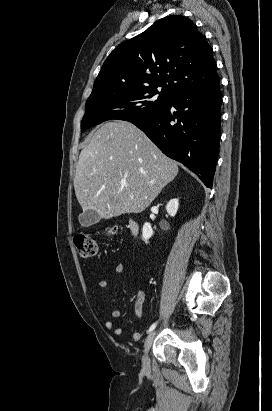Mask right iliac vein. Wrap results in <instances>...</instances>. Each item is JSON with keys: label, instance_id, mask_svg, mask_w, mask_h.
<instances>
[{"label": "right iliac vein", "instance_id": "obj_1", "mask_svg": "<svg viewBox=\"0 0 272 411\" xmlns=\"http://www.w3.org/2000/svg\"><path fill=\"white\" fill-rule=\"evenodd\" d=\"M155 335H156L155 331L151 332L147 336L145 343H144V350H143V356H142V365H143L144 370H148L150 368V359L148 356V352L152 346Z\"/></svg>", "mask_w": 272, "mask_h": 411}]
</instances>
